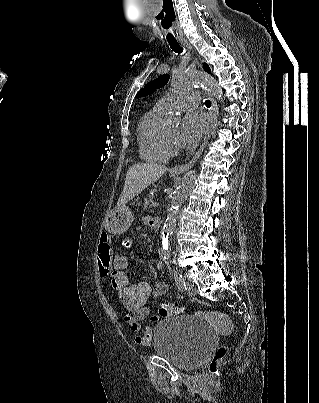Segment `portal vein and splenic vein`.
<instances>
[{
  "instance_id": "portal-vein-and-splenic-vein-1",
  "label": "portal vein and splenic vein",
  "mask_w": 319,
  "mask_h": 403,
  "mask_svg": "<svg viewBox=\"0 0 319 403\" xmlns=\"http://www.w3.org/2000/svg\"><path fill=\"white\" fill-rule=\"evenodd\" d=\"M159 206V202H154L153 207H158Z\"/></svg>"
}]
</instances>
